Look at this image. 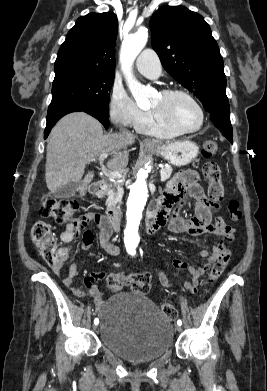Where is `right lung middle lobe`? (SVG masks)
Wrapping results in <instances>:
<instances>
[{
  "mask_svg": "<svg viewBox=\"0 0 267 391\" xmlns=\"http://www.w3.org/2000/svg\"><path fill=\"white\" fill-rule=\"evenodd\" d=\"M115 74L69 72L55 76L48 113L66 105H82L109 114V98Z\"/></svg>",
  "mask_w": 267,
  "mask_h": 391,
  "instance_id": "obj_1",
  "label": "right lung middle lobe"
}]
</instances>
